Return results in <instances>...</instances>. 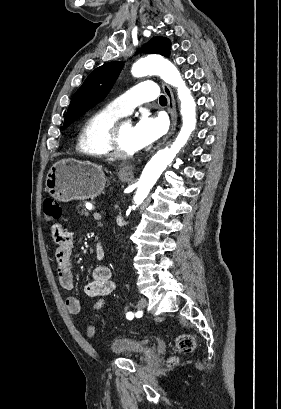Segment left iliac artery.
Segmentation results:
<instances>
[{"mask_svg":"<svg viewBox=\"0 0 281 409\" xmlns=\"http://www.w3.org/2000/svg\"><path fill=\"white\" fill-rule=\"evenodd\" d=\"M133 317H134V314L132 312L127 313V319L131 320L133 319Z\"/></svg>","mask_w":281,"mask_h":409,"instance_id":"1","label":"left iliac artery"}]
</instances>
